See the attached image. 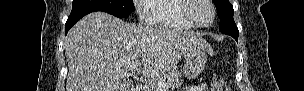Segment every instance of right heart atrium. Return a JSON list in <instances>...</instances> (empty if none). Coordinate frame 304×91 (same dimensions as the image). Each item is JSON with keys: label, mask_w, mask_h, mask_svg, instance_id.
Returning <instances> with one entry per match:
<instances>
[{"label": "right heart atrium", "mask_w": 304, "mask_h": 91, "mask_svg": "<svg viewBox=\"0 0 304 91\" xmlns=\"http://www.w3.org/2000/svg\"><path fill=\"white\" fill-rule=\"evenodd\" d=\"M150 0H137L136 6L139 13V16L141 19L145 20L147 18L148 12H147V6L146 10L144 9V6L149 4Z\"/></svg>", "instance_id": "d8ad5b80"}]
</instances>
